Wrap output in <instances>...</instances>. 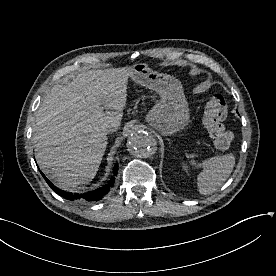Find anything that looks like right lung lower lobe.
<instances>
[{
  "label": "right lung lower lobe",
  "instance_id": "1",
  "mask_svg": "<svg viewBox=\"0 0 276 276\" xmlns=\"http://www.w3.org/2000/svg\"><path fill=\"white\" fill-rule=\"evenodd\" d=\"M41 172V171H40ZM42 176L44 177V179L46 180V182L48 183V185L51 187V189L57 193L58 195H60L61 197L65 198V199H68V200H74V199H77V198H80V196L78 194H72V193H68V192H64L60 189H58L57 187H55L45 176L44 174L41 172ZM115 174H116V171H115ZM113 185V180L109 181V184L100 188V189H97L95 191H92V192H89V193H86L83 195V197L86 199V200H89V201H95V200H99L103 197V195H105L108 190H109V186H112Z\"/></svg>",
  "mask_w": 276,
  "mask_h": 276
}]
</instances>
